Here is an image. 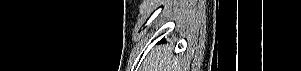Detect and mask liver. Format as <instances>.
<instances>
[{
    "label": "liver",
    "mask_w": 301,
    "mask_h": 71,
    "mask_svg": "<svg viewBox=\"0 0 301 71\" xmlns=\"http://www.w3.org/2000/svg\"><path fill=\"white\" fill-rule=\"evenodd\" d=\"M178 57L172 53V48L157 46L147 56L142 71H179Z\"/></svg>",
    "instance_id": "6515ba94"
}]
</instances>
